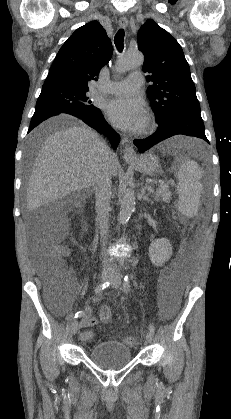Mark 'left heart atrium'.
Instances as JSON below:
<instances>
[{
  "label": "left heart atrium",
  "instance_id": "39dd6f15",
  "mask_svg": "<svg viewBox=\"0 0 231 419\" xmlns=\"http://www.w3.org/2000/svg\"><path fill=\"white\" fill-rule=\"evenodd\" d=\"M109 120L126 131H137L145 123V111L141 101L135 97H120L106 105Z\"/></svg>",
  "mask_w": 231,
  "mask_h": 419
}]
</instances>
